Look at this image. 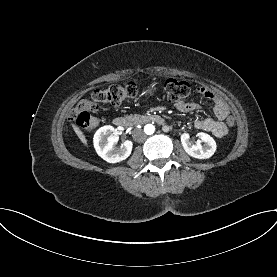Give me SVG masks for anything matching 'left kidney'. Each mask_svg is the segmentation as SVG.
Returning <instances> with one entry per match:
<instances>
[{"label":"left kidney","instance_id":"obj_1","mask_svg":"<svg viewBox=\"0 0 277 277\" xmlns=\"http://www.w3.org/2000/svg\"><path fill=\"white\" fill-rule=\"evenodd\" d=\"M198 137L200 141L193 143L189 140V135L187 133L181 135V143L185 152L197 159L210 158L216 151L217 145L215 140L210 135L203 132L198 133ZM201 142L204 144L201 145Z\"/></svg>","mask_w":277,"mask_h":277}]
</instances>
